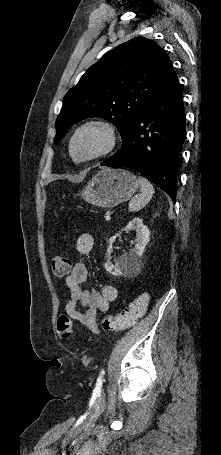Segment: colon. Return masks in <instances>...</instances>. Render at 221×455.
Returning <instances> with one entry per match:
<instances>
[{"instance_id":"1","label":"colon","mask_w":221,"mask_h":455,"mask_svg":"<svg viewBox=\"0 0 221 455\" xmlns=\"http://www.w3.org/2000/svg\"><path fill=\"white\" fill-rule=\"evenodd\" d=\"M51 269L55 276L65 277L71 272V261L66 257L56 256L52 259ZM148 303L149 296L145 293L140 294L119 313L105 317L103 319V328L106 331H121L132 328L145 315ZM57 331L64 340L72 338L73 325L68 316L61 315L58 318Z\"/></svg>"}]
</instances>
